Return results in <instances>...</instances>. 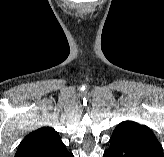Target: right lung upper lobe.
<instances>
[{
    "label": "right lung upper lobe",
    "instance_id": "right-lung-upper-lobe-1",
    "mask_svg": "<svg viewBox=\"0 0 164 157\" xmlns=\"http://www.w3.org/2000/svg\"><path fill=\"white\" fill-rule=\"evenodd\" d=\"M60 140L58 132L53 128H39L23 139L14 157H32Z\"/></svg>",
    "mask_w": 164,
    "mask_h": 157
}]
</instances>
